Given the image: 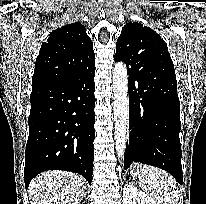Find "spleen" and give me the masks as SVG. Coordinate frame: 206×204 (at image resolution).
<instances>
[{
	"label": "spleen",
	"mask_w": 206,
	"mask_h": 204,
	"mask_svg": "<svg viewBox=\"0 0 206 204\" xmlns=\"http://www.w3.org/2000/svg\"><path fill=\"white\" fill-rule=\"evenodd\" d=\"M139 185L155 204H178L177 182L166 171L153 166H143Z\"/></svg>",
	"instance_id": "obj_1"
}]
</instances>
